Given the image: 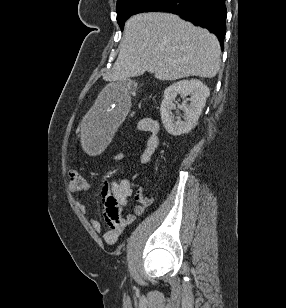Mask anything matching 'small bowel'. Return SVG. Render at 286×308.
I'll use <instances>...</instances> for the list:
<instances>
[{"instance_id":"1","label":"small bowel","mask_w":286,"mask_h":308,"mask_svg":"<svg viewBox=\"0 0 286 308\" xmlns=\"http://www.w3.org/2000/svg\"><path fill=\"white\" fill-rule=\"evenodd\" d=\"M159 129L158 122L150 117L141 118L137 122V130L149 134L146 148L140 155V162L142 164L150 161L153 153L159 146ZM123 156L124 151L122 149H118L114 153L116 159H121ZM130 194V184L123 178L104 181L101 185L100 197L104 206V217L108 228L103 231L101 223L93 218H90L89 222L94 230L102 232L104 241L108 244H114L123 229L131 224L137 216L142 215L147 205L151 202V199L145 195L143 188L139 187L135 194V199L139 203L135 207L134 213L124 216L122 215V209ZM76 204L80 211L87 212V207L83 203L77 201Z\"/></svg>"}]
</instances>
